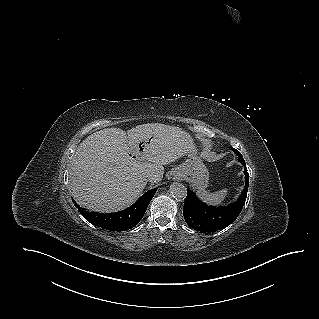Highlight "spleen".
<instances>
[{
	"label": "spleen",
	"mask_w": 319,
	"mask_h": 319,
	"mask_svg": "<svg viewBox=\"0 0 319 319\" xmlns=\"http://www.w3.org/2000/svg\"><path fill=\"white\" fill-rule=\"evenodd\" d=\"M227 193L228 189H222L213 193H210L204 189L197 191L200 199L209 205H220L225 200Z\"/></svg>",
	"instance_id": "3e777b00"
}]
</instances>
